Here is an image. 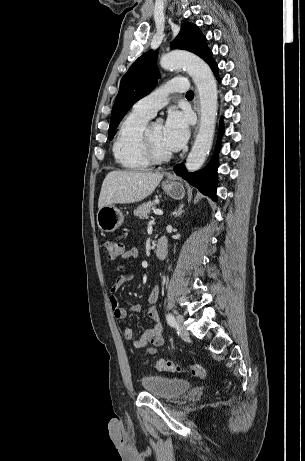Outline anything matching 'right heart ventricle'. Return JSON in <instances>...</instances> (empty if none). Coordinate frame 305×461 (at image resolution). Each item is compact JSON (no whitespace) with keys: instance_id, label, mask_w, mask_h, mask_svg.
I'll list each match as a JSON object with an SVG mask.
<instances>
[{"instance_id":"right-heart-ventricle-1","label":"right heart ventricle","mask_w":305,"mask_h":461,"mask_svg":"<svg viewBox=\"0 0 305 461\" xmlns=\"http://www.w3.org/2000/svg\"><path fill=\"white\" fill-rule=\"evenodd\" d=\"M149 119L147 115L132 110L120 124L113 154L126 170H143L151 164L142 148V135Z\"/></svg>"}]
</instances>
